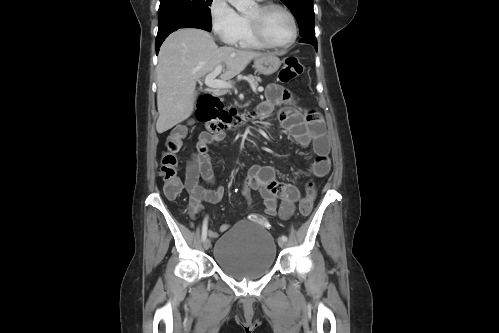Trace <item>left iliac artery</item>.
Segmentation results:
<instances>
[{
    "instance_id": "1",
    "label": "left iliac artery",
    "mask_w": 499,
    "mask_h": 333,
    "mask_svg": "<svg viewBox=\"0 0 499 333\" xmlns=\"http://www.w3.org/2000/svg\"><path fill=\"white\" fill-rule=\"evenodd\" d=\"M281 239L284 240V241H287V237L285 235H282Z\"/></svg>"
}]
</instances>
